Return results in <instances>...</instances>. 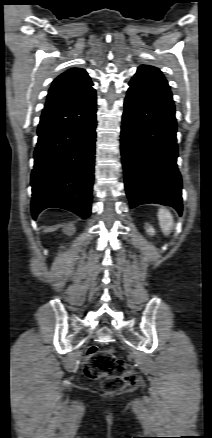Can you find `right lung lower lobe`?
Returning a JSON list of instances; mask_svg holds the SVG:
<instances>
[{"instance_id": "obj_1", "label": "right lung lower lobe", "mask_w": 212, "mask_h": 438, "mask_svg": "<svg viewBox=\"0 0 212 438\" xmlns=\"http://www.w3.org/2000/svg\"><path fill=\"white\" fill-rule=\"evenodd\" d=\"M96 94L83 101L44 108L31 174V212L62 208L91 213L96 141Z\"/></svg>"}]
</instances>
